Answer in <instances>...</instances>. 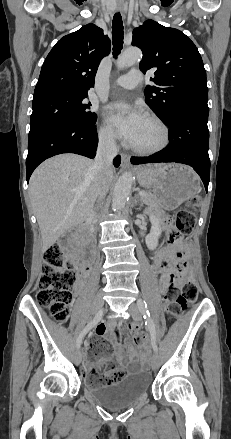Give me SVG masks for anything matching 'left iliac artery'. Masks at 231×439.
<instances>
[{
	"mask_svg": "<svg viewBox=\"0 0 231 439\" xmlns=\"http://www.w3.org/2000/svg\"><path fill=\"white\" fill-rule=\"evenodd\" d=\"M137 304H138V306L143 311V315H144L143 317L145 319V325L147 326V328L150 331L152 347H153L154 351L157 352L158 349H157V344H156V333H155V328H154L153 322H152V320L150 318V312L148 310V305L142 299H139L137 301Z\"/></svg>",
	"mask_w": 231,
	"mask_h": 439,
	"instance_id": "1",
	"label": "left iliac artery"
}]
</instances>
